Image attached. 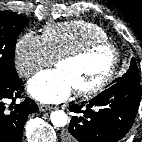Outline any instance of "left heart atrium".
Masks as SVG:
<instances>
[{
	"instance_id": "obj_1",
	"label": "left heart atrium",
	"mask_w": 142,
	"mask_h": 142,
	"mask_svg": "<svg viewBox=\"0 0 142 142\" xmlns=\"http://www.w3.org/2000/svg\"><path fill=\"white\" fill-rule=\"evenodd\" d=\"M28 92L42 103H58L74 90L69 77L60 69L44 70L29 80Z\"/></svg>"
}]
</instances>
